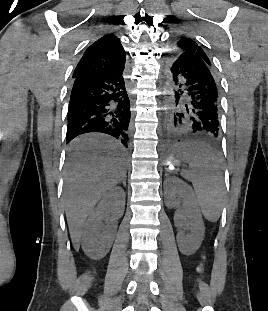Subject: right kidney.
Listing matches in <instances>:
<instances>
[{
    "label": "right kidney",
    "mask_w": 268,
    "mask_h": 311,
    "mask_svg": "<svg viewBox=\"0 0 268 311\" xmlns=\"http://www.w3.org/2000/svg\"><path fill=\"white\" fill-rule=\"evenodd\" d=\"M125 209V192L113 187L91 212L82 233L81 245L85 254L92 259H101L109 252L117 230V220ZM106 224L103 221L108 219Z\"/></svg>",
    "instance_id": "obj_1"
}]
</instances>
